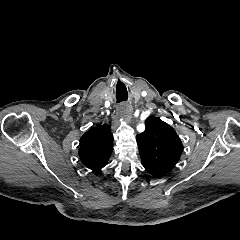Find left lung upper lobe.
Masks as SVG:
<instances>
[{
	"mask_svg": "<svg viewBox=\"0 0 240 240\" xmlns=\"http://www.w3.org/2000/svg\"><path fill=\"white\" fill-rule=\"evenodd\" d=\"M145 125V131L136 137L142 164L151 175L164 176L179 161L182 142L175 130L160 119L147 118Z\"/></svg>",
	"mask_w": 240,
	"mask_h": 240,
	"instance_id": "obj_1",
	"label": "left lung upper lobe"
}]
</instances>
